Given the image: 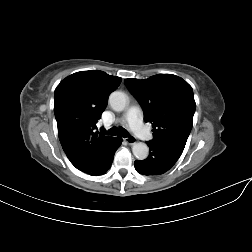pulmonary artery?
<instances>
[{
    "instance_id": "e3ab8cb5",
    "label": "pulmonary artery",
    "mask_w": 252,
    "mask_h": 252,
    "mask_svg": "<svg viewBox=\"0 0 252 252\" xmlns=\"http://www.w3.org/2000/svg\"><path fill=\"white\" fill-rule=\"evenodd\" d=\"M125 121L127 122L130 130L139 138L148 139L150 132L142 123L140 117V109L136 106H132L125 114Z\"/></svg>"
}]
</instances>
